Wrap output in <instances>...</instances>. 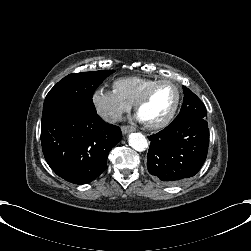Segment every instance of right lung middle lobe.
I'll list each match as a JSON object with an SVG mask.
<instances>
[{"mask_svg": "<svg viewBox=\"0 0 251 251\" xmlns=\"http://www.w3.org/2000/svg\"><path fill=\"white\" fill-rule=\"evenodd\" d=\"M112 73L114 70H101L69 74L64 77L47 94L42 119L56 109L71 104L96 111L92 100L93 93Z\"/></svg>", "mask_w": 251, "mask_h": 251, "instance_id": "right-lung-middle-lobe-1", "label": "right lung middle lobe"}]
</instances>
